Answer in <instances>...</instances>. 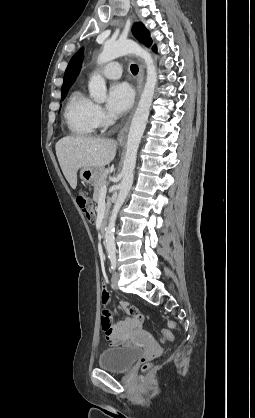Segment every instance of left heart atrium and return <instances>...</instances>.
I'll return each mask as SVG.
<instances>
[{
    "label": "left heart atrium",
    "instance_id": "left-heart-atrium-1",
    "mask_svg": "<svg viewBox=\"0 0 255 418\" xmlns=\"http://www.w3.org/2000/svg\"><path fill=\"white\" fill-rule=\"evenodd\" d=\"M133 103V91L126 83L113 84L108 92L106 107L113 117L123 115Z\"/></svg>",
    "mask_w": 255,
    "mask_h": 418
}]
</instances>
